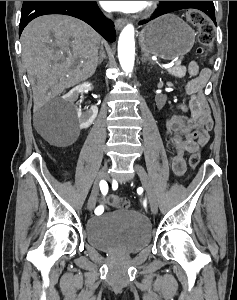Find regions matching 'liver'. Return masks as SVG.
<instances>
[{"mask_svg": "<svg viewBox=\"0 0 237 300\" xmlns=\"http://www.w3.org/2000/svg\"><path fill=\"white\" fill-rule=\"evenodd\" d=\"M101 37L89 25L66 15H44L21 35L22 61L33 87L35 107L92 77Z\"/></svg>", "mask_w": 237, "mask_h": 300, "instance_id": "liver-1", "label": "liver"}]
</instances>
